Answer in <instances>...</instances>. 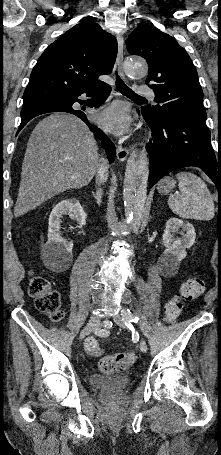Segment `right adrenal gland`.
I'll return each instance as SVG.
<instances>
[{"mask_svg": "<svg viewBox=\"0 0 221 455\" xmlns=\"http://www.w3.org/2000/svg\"><path fill=\"white\" fill-rule=\"evenodd\" d=\"M102 194H103V190L101 188H98L96 193L92 192V195L96 199L98 206H100L102 203Z\"/></svg>", "mask_w": 221, "mask_h": 455, "instance_id": "obj_1", "label": "right adrenal gland"}]
</instances>
